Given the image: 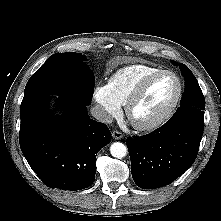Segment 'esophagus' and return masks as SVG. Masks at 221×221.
<instances>
[{"label":"esophagus","mask_w":221,"mask_h":221,"mask_svg":"<svg viewBox=\"0 0 221 221\" xmlns=\"http://www.w3.org/2000/svg\"><path fill=\"white\" fill-rule=\"evenodd\" d=\"M112 136L116 140L123 138V134L117 130L112 132Z\"/></svg>","instance_id":"esophagus-1"}]
</instances>
